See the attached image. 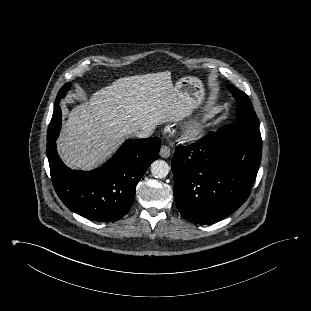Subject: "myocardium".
<instances>
[{"label":"myocardium","mask_w":311,"mask_h":311,"mask_svg":"<svg viewBox=\"0 0 311 311\" xmlns=\"http://www.w3.org/2000/svg\"><path fill=\"white\" fill-rule=\"evenodd\" d=\"M203 132L202 126L199 124H194L187 128L186 136L188 139L196 140L201 137Z\"/></svg>","instance_id":"myocardium-1"}]
</instances>
